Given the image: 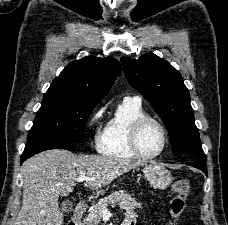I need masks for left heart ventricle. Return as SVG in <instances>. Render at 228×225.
<instances>
[{
    "mask_svg": "<svg viewBox=\"0 0 228 225\" xmlns=\"http://www.w3.org/2000/svg\"><path fill=\"white\" fill-rule=\"evenodd\" d=\"M163 144V134L161 129L154 123H148L142 130L140 145L146 154L159 152Z\"/></svg>",
    "mask_w": 228,
    "mask_h": 225,
    "instance_id": "left-heart-ventricle-1",
    "label": "left heart ventricle"
}]
</instances>
